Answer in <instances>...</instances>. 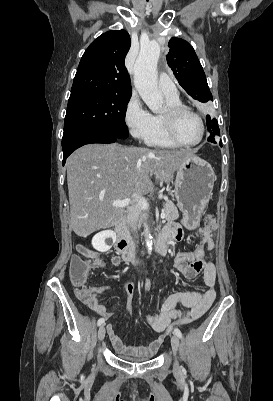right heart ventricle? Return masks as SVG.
Wrapping results in <instances>:
<instances>
[{
  "label": "right heart ventricle",
  "mask_w": 273,
  "mask_h": 401,
  "mask_svg": "<svg viewBox=\"0 0 273 401\" xmlns=\"http://www.w3.org/2000/svg\"><path fill=\"white\" fill-rule=\"evenodd\" d=\"M166 101L168 105L182 104L178 94L175 97H166ZM145 143L150 146L162 148L180 147L178 144L173 142L166 134L161 120V115H153L151 130L145 139Z\"/></svg>",
  "instance_id": "right-heart-ventricle-1"
}]
</instances>
